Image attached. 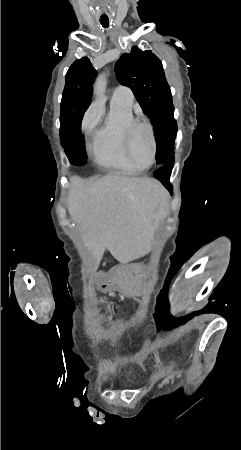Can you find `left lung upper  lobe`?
I'll return each mask as SVG.
<instances>
[{
  "label": "left lung upper lobe",
  "mask_w": 241,
  "mask_h": 450,
  "mask_svg": "<svg viewBox=\"0 0 241 450\" xmlns=\"http://www.w3.org/2000/svg\"><path fill=\"white\" fill-rule=\"evenodd\" d=\"M117 80L130 87L149 116L157 141L156 160L169 163L173 156V144L177 133L174 106L170 87L166 81L159 58L150 50L133 47L131 53L123 54L115 64Z\"/></svg>",
  "instance_id": "5c2ea615"
}]
</instances>
